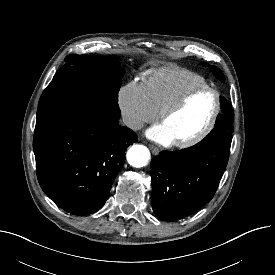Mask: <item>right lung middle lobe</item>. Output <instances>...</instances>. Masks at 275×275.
I'll return each mask as SVG.
<instances>
[{
	"label": "right lung middle lobe",
	"mask_w": 275,
	"mask_h": 275,
	"mask_svg": "<svg viewBox=\"0 0 275 275\" xmlns=\"http://www.w3.org/2000/svg\"><path fill=\"white\" fill-rule=\"evenodd\" d=\"M42 93L36 127L69 111L89 109L119 118L118 91L124 69L108 57L69 55Z\"/></svg>",
	"instance_id": "dd1d6c3e"
}]
</instances>
